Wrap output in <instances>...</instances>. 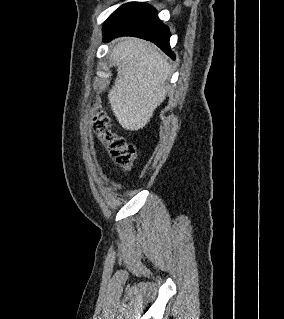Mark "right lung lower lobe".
Listing matches in <instances>:
<instances>
[{
    "instance_id": "obj_1",
    "label": "right lung lower lobe",
    "mask_w": 284,
    "mask_h": 319,
    "mask_svg": "<svg viewBox=\"0 0 284 319\" xmlns=\"http://www.w3.org/2000/svg\"><path fill=\"white\" fill-rule=\"evenodd\" d=\"M103 40L109 41L118 36H135L154 42L172 59L169 28L158 18L156 10L146 3H135L129 10L103 29Z\"/></svg>"
}]
</instances>
